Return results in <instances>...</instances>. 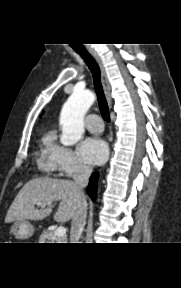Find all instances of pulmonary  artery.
<instances>
[{"mask_svg": "<svg viewBox=\"0 0 181 288\" xmlns=\"http://www.w3.org/2000/svg\"><path fill=\"white\" fill-rule=\"evenodd\" d=\"M86 128L93 133H100L103 130V123L100 116L91 113L86 118Z\"/></svg>", "mask_w": 181, "mask_h": 288, "instance_id": "1", "label": "pulmonary artery"}]
</instances>
